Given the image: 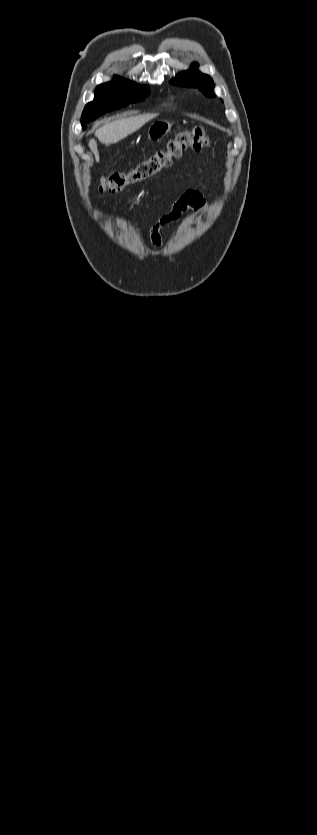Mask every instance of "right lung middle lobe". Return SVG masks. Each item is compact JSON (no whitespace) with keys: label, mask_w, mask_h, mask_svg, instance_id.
I'll return each instance as SVG.
<instances>
[{"label":"right lung middle lobe","mask_w":317,"mask_h":835,"mask_svg":"<svg viewBox=\"0 0 317 835\" xmlns=\"http://www.w3.org/2000/svg\"><path fill=\"white\" fill-rule=\"evenodd\" d=\"M148 95L149 88L147 86L132 84L130 81L121 78L97 86L94 100L85 106L82 113V128L85 129L87 123L98 116L124 107L129 103L143 100Z\"/></svg>","instance_id":"dd1d6c3e"}]
</instances>
